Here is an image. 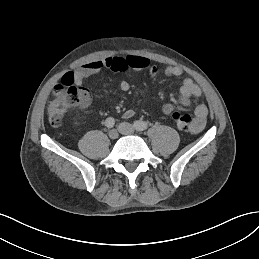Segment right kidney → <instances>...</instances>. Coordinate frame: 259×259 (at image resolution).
I'll use <instances>...</instances> for the list:
<instances>
[{
  "label": "right kidney",
  "instance_id": "ca27d5eb",
  "mask_svg": "<svg viewBox=\"0 0 259 259\" xmlns=\"http://www.w3.org/2000/svg\"><path fill=\"white\" fill-rule=\"evenodd\" d=\"M85 116L82 114V115H79L78 116V119H83Z\"/></svg>",
  "mask_w": 259,
  "mask_h": 259
}]
</instances>
